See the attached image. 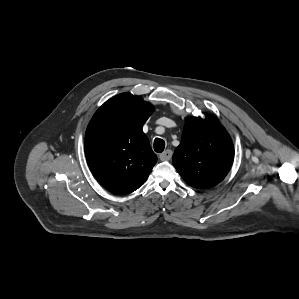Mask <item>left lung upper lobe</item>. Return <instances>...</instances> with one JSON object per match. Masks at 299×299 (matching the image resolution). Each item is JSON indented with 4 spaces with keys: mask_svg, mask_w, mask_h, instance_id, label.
<instances>
[{
    "mask_svg": "<svg viewBox=\"0 0 299 299\" xmlns=\"http://www.w3.org/2000/svg\"><path fill=\"white\" fill-rule=\"evenodd\" d=\"M234 159L230 135L219 121L207 115L190 118L175 149L173 165L184 181L194 188H210L220 183Z\"/></svg>",
    "mask_w": 299,
    "mask_h": 299,
    "instance_id": "1",
    "label": "left lung upper lobe"
}]
</instances>
